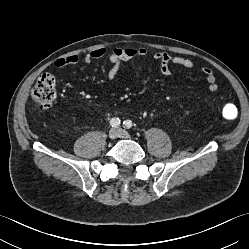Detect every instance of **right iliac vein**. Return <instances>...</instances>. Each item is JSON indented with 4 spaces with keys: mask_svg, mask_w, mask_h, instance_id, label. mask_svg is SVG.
<instances>
[{
    "mask_svg": "<svg viewBox=\"0 0 249 249\" xmlns=\"http://www.w3.org/2000/svg\"><path fill=\"white\" fill-rule=\"evenodd\" d=\"M118 135H119L118 129L112 128V129L109 130L108 136H109L110 139L113 140V139L117 138Z\"/></svg>",
    "mask_w": 249,
    "mask_h": 249,
    "instance_id": "1",
    "label": "right iliac vein"
}]
</instances>
